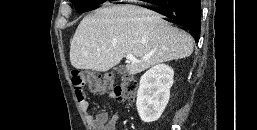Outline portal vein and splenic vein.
<instances>
[{
    "instance_id": "18ae733b",
    "label": "portal vein and splenic vein",
    "mask_w": 257,
    "mask_h": 130,
    "mask_svg": "<svg viewBox=\"0 0 257 130\" xmlns=\"http://www.w3.org/2000/svg\"><path fill=\"white\" fill-rule=\"evenodd\" d=\"M126 59L130 62H139V60L136 59L132 54L126 55Z\"/></svg>"
}]
</instances>
